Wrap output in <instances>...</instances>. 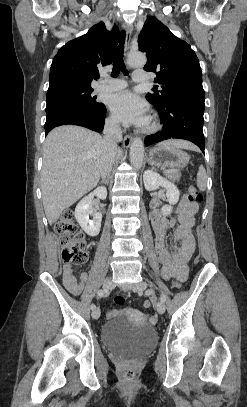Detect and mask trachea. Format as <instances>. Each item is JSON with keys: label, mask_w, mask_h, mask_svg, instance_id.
<instances>
[{"label": "trachea", "mask_w": 247, "mask_h": 407, "mask_svg": "<svg viewBox=\"0 0 247 407\" xmlns=\"http://www.w3.org/2000/svg\"><path fill=\"white\" fill-rule=\"evenodd\" d=\"M121 39H120V43L116 49L115 52V59L113 62V70L111 73L112 77H117L120 73V71L123 72V74L125 76H128L129 72L127 71L125 64H124V60H123V53H124V39H125V31L122 30L121 31Z\"/></svg>", "instance_id": "obj_1"}]
</instances>
